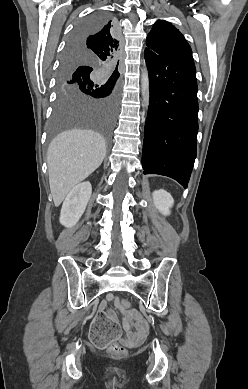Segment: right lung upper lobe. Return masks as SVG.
<instances>
[{
    "label": "right lung upper lobe",
    "instance_id": "cb5924a9",
    "mask_svg": "<svg viewBox=\"0 0 248 389\" xmlns=\"http://www.w3.org/2000/svg\"><path fill=\"white\" fill-rule=\"evenodd\" d=\"M76 45V46H75ZM75 46L74 52L87 57L88 62L101 64L110 70H115L112 77H119L117 58L121 54V41L118 37L115 26L111 21L107 22L98 31L84 37L79 43L70 45Z\"/></svg>",
    "mask_w": 248,
    "mask_h": 389
}]
</instances>
